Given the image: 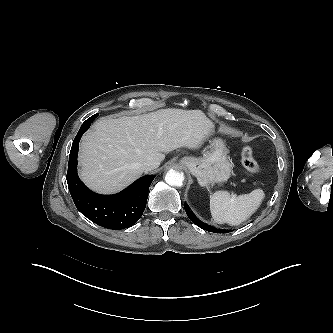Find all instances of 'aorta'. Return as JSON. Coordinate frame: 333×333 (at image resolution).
Returning <instances> with one entry per match:
<instances>
[{
	"instance_id": "aorta-1",
	"label": "aorta",
	"mask_w": 333,
	"mask_h": 333,
	"mask_svg": "<svg viewBox=\"0 0 333 333\" xmlns=\"http://www.w3.org/2000/svg\"><path fill=\"white\" fill-rule=\"evenodd\" d=\"M184 175L175 170H169L166 173L165 181L171 186L181 187L183 185Z\"/></svg>"
}]
</instances>
